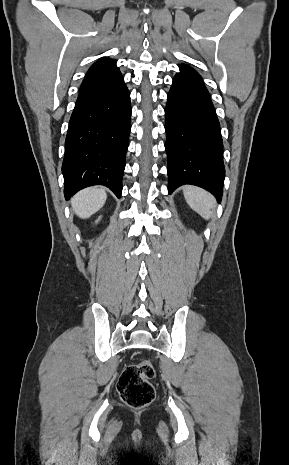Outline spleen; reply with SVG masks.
<instances>
[{
  "instance_id": "spleen-1",
  "label": "spleen",
  "mask_w": 289,
  "mask_h": 465,
  "mask_svg": "<svg viewBox=\"0 0 289 465\" xmlns=\"http://www.w3.org/2000/svg\"><path fill=\"white\" fill-rule=\"evenodd\" d=\"M183 194L188 205L200 216L209 219L215 209V198L196 186L186 185L183 187Z\"/></svg>"
}]
</instances>
